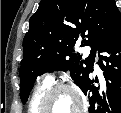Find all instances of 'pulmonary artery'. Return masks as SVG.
I'll use <instances>...</instances> for the list:
<instances>
[{"label":"pulmonary artery","instance_id":"1","mask_svg":"<svg viewBox=\"0 0 121 113\" xmlns=\"http://www.w3.org/2000/svg\"><path fill=\"white\" fill-rule=\"evenodd\" d=\"M88 54H89V49L87 48V49L84 50V55L86 56ZM94 71H95V73L100 75L101 78H102V71H101V69H100V67L97 63H95V65H94Z\"/></svg>","mask_w":121,"mask_h":113}]
</instances>
